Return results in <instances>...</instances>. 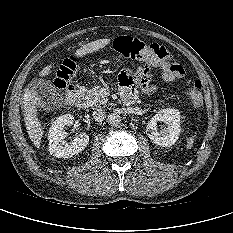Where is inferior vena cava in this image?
<instances>
[{"label": "inferior vena cava", "instance_id": "obj_1", "mask_svg": "<svg viewBox=\"0 0 233 233\" xmlns=\"http://www.w3.org/2000/svg\"><path fill=\"white\" fill-rule=\"evenodd\" d=\"M92 115L94 120L97 122H102L106 117L105 111L103 109H96L93 111Z\"/></svg>", "mask_w": 233, "mask_h": 233}]
</instances>
